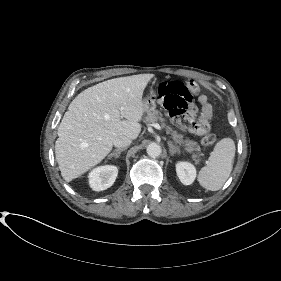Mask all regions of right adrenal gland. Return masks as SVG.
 Here are the masks:
<instances>
[{
	"mask_svg": "<svg viewBox=\"0 0 281 281\" xmlns=\"http://www.w3.org/2000/svg\"><path fill=\"white\" fill-rule=\"evenodd\" d=\"M124 150L125 148H119L114 150L111 154L108 155L107 159H111L112 157H115L116 159L119 158L120 153Z\"/></svg>",
	"mask_w": 281,
	"mask_h": 281,
	"instance_id": "1",
	"label": "right adrenal gland"
}]
</instances>
